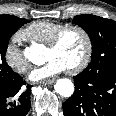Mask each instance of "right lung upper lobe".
Wrapping results in <instances>:
<instances>
[{
	"label": "right lung upper lobe",
	"instance_id": "right-lung-upper-lobe-1",
	"mask_svg": "<svg viewBox=\"0 0 116 116\" xmlns=\"http://www.w3.org/2000/svg\"><path fill=\"white\" fill-rule=\"evenodd\" d=\"M0 18L7 19V20H21L20 18L13 16V15H0Z\"/></svg>",
	"mask_w": 116,
	"mask_h": 116
}]
</instances>
